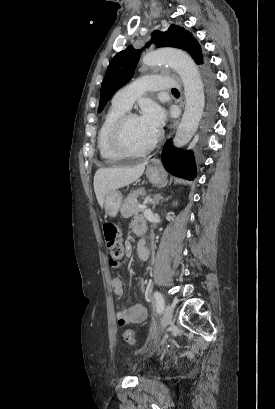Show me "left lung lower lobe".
I'll list each match as a JSON object with an SVG mask.
<instances>
[{
	"mask_svg": "<svg viewBox=\"0 0 275 409\" xmlns=\"http://www.w3.org/2000/svg\"><path fill=\"white\" fill-rule=\"evenodd\" d=\"M206 81L208 90L206 129H210L217 109V90L214 74L208 67H206ZM161 160L164 168L174 176L188 180H193L196 177L193 153L175 148L171 140H168L165 144L161 154Z\"/></svg>",
	"mask_w": 275,
	"mask_h": 409,
	"instance_id": "left-lung-lower-lobe-1",
	"label": "left lung lower lobe"
}]
</instances>
